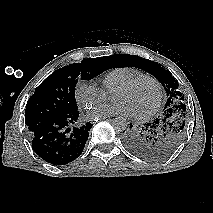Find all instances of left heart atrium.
Here are the masks:
<instances>
[{
  "label": "left heart atrium",
  "instance_id": "1",
  "mask_svg": "<svg viewBox=\"0 0 213 213\" xmlns=\"http://www.w3.org/2000/svg\"><path fill=\"white\" fill-rule=\"evenodd\" d=\"M111 115L131 116V109L122 101H115L111 104H100L93 107L89 112L90 118H100Z\"/></svg>",
  "mask_w": 213,
  "mask_h": 213
}]
</instances>
